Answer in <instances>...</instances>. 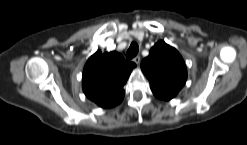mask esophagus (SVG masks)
Segmentation results:
<instances>
[{
    "instance_id": "esophagus-1",
    "label": "esophagus",
    "mask_w": 247,
    "mask_h": 145,
    "mask_svg": "<svg viewBox=\"0 0 247 145\" xmlns=\"http://www.w3.org/2000/svg\"><path fill=\"white\" fill-rule=\"evenodd\" d=\"M132 61H133L134 63H136V64H139V62H140V56H135V57L132 59Z\"/></svg>"
}]
</instances>
